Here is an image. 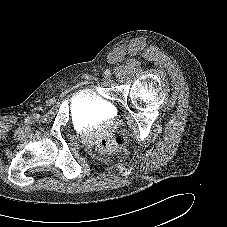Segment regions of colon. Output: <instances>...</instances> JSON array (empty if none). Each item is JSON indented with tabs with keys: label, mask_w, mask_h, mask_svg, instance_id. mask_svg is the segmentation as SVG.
I'll return each mask as SVG.
<instances>
[{
	"label": "colon",
	"mask_w": 227,
	"mask_h": 227,
	"mask_svg": "<svg viewBox=\"0 0 227 227\" xmlns=\"http://www.w3.org/2000/svg\"><path fill=\"white\" fill-rule=\"evenodd\" d=\"M124 144V138L122 136H112L105 134L97 141V147L103 152H111L119 148Z\"/></svg>",
	"instance_id": "obj_1"
}]
</instances>
